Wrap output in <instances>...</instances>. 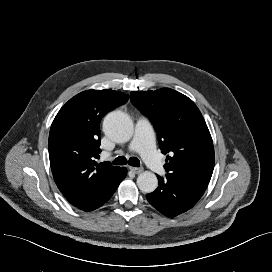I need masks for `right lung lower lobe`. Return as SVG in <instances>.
Segmentation results:
<instances>
[{"instance_id":"obj_1","label":"right lung lower lobe","mask_w":272,"mask_h":272,"mask_svg":"<svg viewBox=\"0 0 272 272\" xmlns=\"http://www.w3.org/2000/svg\"><path fill=\"white\" fill-rule=\"evenodd\" d=\"M126 174H127L126 168H122L121 173L115 179V181L109 187H107L99 196H97L94 200L90 201L87 204L76 206V207L83 211H92L102 206L111 198V196L117 189L118 185L126 177Z\"/></svg>"}]
</instances>
